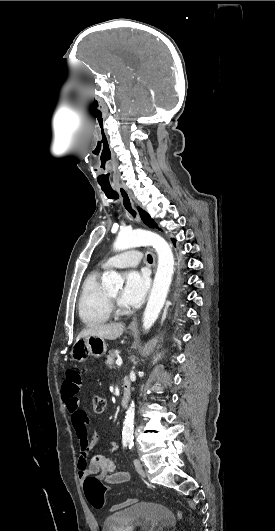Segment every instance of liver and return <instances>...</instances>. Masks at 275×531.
Listing matches in <instances>:
<instances>
[{"mask_svg":"<svg viewBox=\"0 0 275 531\" xmlns=\"http://www.w3.org/2000/svg\"><path fill=\"white\" fill-rule=\"evenodd\" d=\"M124 325L122 323H110V325H89L87 329H83L79 333L77 339H83V337H101V339H109V341H115L118 337L123 335Z\"/></svg>","mask_w":275,"mask_h":531,"instance_id":"obj_1","label":"liver"}]
</instances>
